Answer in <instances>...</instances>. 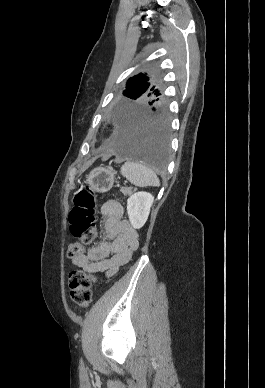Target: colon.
<instances>
[{
	"label": "colon",
	"mask_w": 265,
	"mask_h": 388,
	"mask_svg": "<svg viewBox=\"0 0 265 388\" xmlns=\"http://www.w3.org/2000/svg\"><path fill=\"white\" fill-rule=\"evenodd\" d=\"M75 207L69 215L70 232L81 243H72L67 255L76 258L83 254L84 246L91 244L97 237L96 196L89 188L82 189L74 198ZM96 282L93 275L83 271L69 274L70 297L80 307H88L92 301V286Z\"/></svg>",
	"instance_id": "colon-1"
}]
</instances>
